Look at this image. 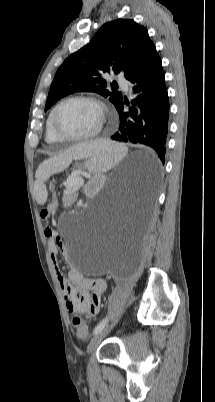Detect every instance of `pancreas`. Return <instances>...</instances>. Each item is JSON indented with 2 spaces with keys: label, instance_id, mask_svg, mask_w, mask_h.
Masks as SVG:
<instances>
[{
  "label": "pancreas",
  "instance_id": "cf45deb5",
  "mask_svg": "<svg viewBox=\"0 0 215 402\" xmlns=\"http://www.w3.org/2000/svg\"><path fill=\"white\" fill-rule=\"evenodd\" d=\"M78 188H79V187H78L77 185H72V186H71V185H68V186L66 187V189L69 190V191H70V190L76 191V190H78Z\"/></svg>",
  "mask_w": 215,
  "mask_h": 402
}]
</instances>
